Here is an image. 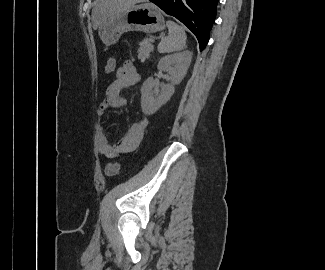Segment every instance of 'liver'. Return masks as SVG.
I'll use <instances>...</instances> for the list:
<instances>
[{
	"label": "liver",
	"instance_id": "liver-1",
	"mask_svg": "<svg viewBox=\"0 0 325 270\" xmlns=\"http://www.w3.org/2000/svg\"><path fill=\"white\" fill-rule=\"evenodd\" d=\"M135 0H97L92 10V25L96 30L109 15L134 5Z\"/></svg>",
	"mask_w": 325,
	"mask_h": 270
}]
</instances>
